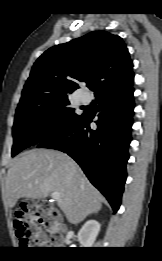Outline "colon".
<instances>
[{"instance_id":"1","label":"colon","mask_w":162,"mask_h":261,"mask_svg":"<svg viewBox=\"0 0 162 261\" xmlns=\"http://www.w3.org/2000/svg\"><path fill=\"white\" fill-rule=\"evenodd\" d=\"M60 213L46 199L28 201L15 214L14 227L20 245L23 248H45L50 245V238L43 233L58 229Z\"/></svg>"}]
</instances>
